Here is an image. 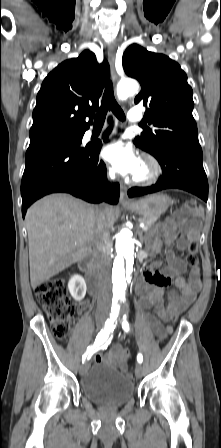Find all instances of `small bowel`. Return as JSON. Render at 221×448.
Segmentation results:
<instances>
[{"instance_id": "c3829d8e", "label": "small bowel", "mask_w": 221, "mask_h": 448, "mask_svg": "<svg viewBox=\"0 0 221 448\" xmlns=\"http://www.w3.org/2000/svg\"><path fill=\"white\" fill-rule=\"evenodd\" d=\"M198 238V230L191 225L178 226L173 220L163 223L157 231L148 239L149 250L158 254L165 248L168 265L158 270V263L145 270L143 279L137 284V292L140 295L139 306L146 311L152 309L157 317L144 313V318L149 323L159 340L163 341L172 333L171 326H164L162 322L177 319L195 300L201 289V276L198 266H188L179 258L174 248L184 251L188 244ZM188 273L186 279L183 274ZM174 283L175 289L166 295V288ZM167 296V302H165ZM89 303L83 301L79 306L82 312ZM129 351L119 345L113 346L103 356L95 354L94 361H107L121 371H126Z\"/></svg>"}]
</instances>
